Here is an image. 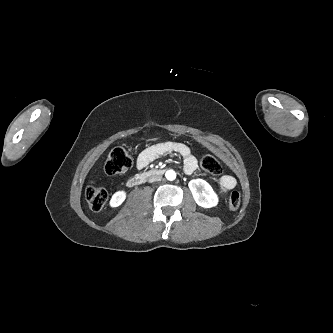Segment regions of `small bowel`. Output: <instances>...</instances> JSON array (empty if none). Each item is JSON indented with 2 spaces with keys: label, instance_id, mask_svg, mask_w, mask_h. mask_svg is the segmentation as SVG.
<instances>
[{
  "label": "small bowel",
  "instance_id": "1",
  "mask_svg": "<svg viewBox=\"0 0 333 333\" xmlns=\"http://www.w3.org/2000/svg\"><path fill=\"white\" fill-rule=\"evenodd\" d=\"M177 153L184 160V170L191 174L197 168V159L191 152L190 148L180 142H163L154 144L144 149L138 156L136 166L138 169L147 167L158 157L167 153ZM236 186V180L231 175H223L219 179V187L223 192H227Z\"/></svg>",
  "mask_w": 333,
  "mask_h": 333
}]
</instances>
